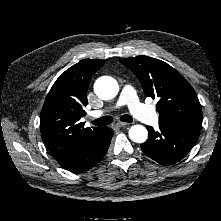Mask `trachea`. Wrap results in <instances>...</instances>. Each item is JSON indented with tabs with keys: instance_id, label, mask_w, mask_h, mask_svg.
Here are the masks:
<instances>
[{
	"instance_id": "obj_1",
	"label": "trachea",
	"mask_w": 221,
	"mask_h": 221,
	"mask_svg": "<svg viewBox=\"0 0 221 221\" xmlns=\"http://www.w3.org/2000/svg\"><path fill=\"white\" fill-rule=\"evenodd\" d=\"M120 120L122 122H128V123L133 122V118L130 115H127V114L122 115L120 117ZM112 121H113L112 117L104 116V117H101V118H98V119L92 121V124H94L95 126H106V125L111 124Z\"/></svg>"
}]
</instances>
